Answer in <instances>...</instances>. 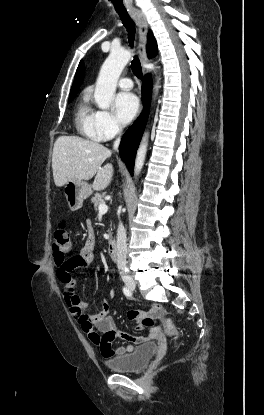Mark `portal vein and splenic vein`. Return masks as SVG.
<instances>
[{
  "mask_svg": "<svg viewBox=\"0 0 264 415\" xmlns=\"http://www.w3.org/2000/svg\"><path fill=\"white\" fill-rule=\"evenodd\" d=\"M98 210L99 214H105L108 211V206L106 204H100Z\"/></svg>",
  "mask_w": 264,
  "mask_h": 415,
  "instance_id": "portal-vein-and-splenic-vein-1",
  "label": "portal vein and splenic vein"
}]
</instances>
